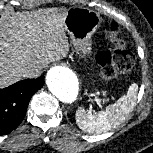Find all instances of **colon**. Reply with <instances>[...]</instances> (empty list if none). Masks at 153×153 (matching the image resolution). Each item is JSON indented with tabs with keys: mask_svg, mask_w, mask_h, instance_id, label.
Here are the masks:
<instances>
[{
	"mask_svg": "<svg viewBox=\"0 0 153 153\" xmlns=\"http://www.w3.org/2000/svg\"><path fill=\"white\" fill-rule=\"evenodd\" d=\"M106 35L111 42L115 43V47L111 50L98 53L96 60L102 68L103 78L111 79L131 70L133 56L119 39L118 27L115 23H111L106 28Z\"/></svg>",
	"mask_w": 153,
	"mask_h": 153,
	"instance_id": "colon-1",
	"label": "colon"
}]
</instances>
